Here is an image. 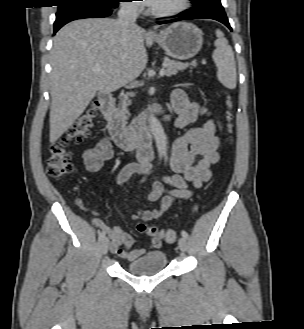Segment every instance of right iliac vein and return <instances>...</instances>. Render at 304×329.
<instances>
[{
    "instance_id": "right-iliac-vein-1",
    "label": "right iliac vein",
    "mask_w": 304,
    "mask_h": 329,
    "mask_svg": "<svg viewBox=\"0 0 304 329\" xmlns=\"http://www.w3.org/2000/svg\"><path fill=\"white\" fill-rule=\"evenodd\" d=\"M100 249H101V253L103 255H105L108 252V249H109V240L107 238H105L102 241Z\"/></svg>"
}]
</instances>
